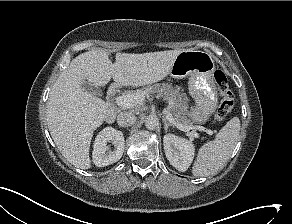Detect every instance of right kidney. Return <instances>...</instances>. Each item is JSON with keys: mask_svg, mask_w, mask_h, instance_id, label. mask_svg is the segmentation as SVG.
Here are the masks:
<instances>
[{"mask_svg": "<svg viewBox=\"0 0 292 224\" xmlns=\"http://www.w3.org/2000/svg\"><path fill=\"white\" fill-rule=\"evenodd\" d=\"M109 141L115 145L113 151H108L107 142ZM124 143V136L121 131H117L112 127L104 128L99 132L94 141L92 152L93 163L97 167H105L119 161L124 152Z\"/></svg>", "mask_w": 292, "mask_h": 224, "instance_id": "right-kidney-1", "label": "right kidney"}]
</instances>
